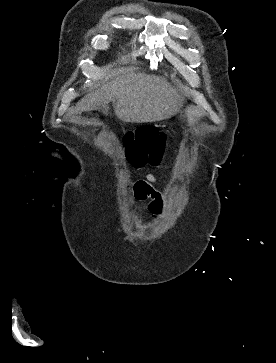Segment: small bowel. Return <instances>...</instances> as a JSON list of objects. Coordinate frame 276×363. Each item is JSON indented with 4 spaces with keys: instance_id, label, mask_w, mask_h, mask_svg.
Wrapping results in <instances>:
<instances>
[{
    "instance_id": "c3829d8e",
    "label": "small bowel",
    "mask_w": 276,
    "mask_h": 363,
    "mask_svg": "<svg viewBox=\"0 0 276 363\" xmlns=\"http://www.w3.org/2000/svg\"><path fill=\"white\" fill-rule=\"evenodd\" d=\"M157 180L154 174L149 173L144 178L137 180L134 185L135 198L138 201H149V210L152 213L159 211L163 204L161 191L153 186Z\"/></svg>"
}]
</instances>
